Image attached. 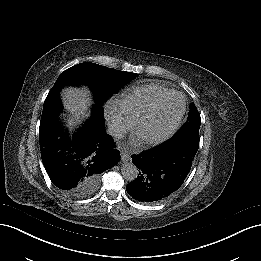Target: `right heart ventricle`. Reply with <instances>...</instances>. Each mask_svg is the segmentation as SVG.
I'll return each mask as SVG.
<instances>
[{"instance_id": "e07e8e85", "label": "right heart ventricle", "mask_w": 261, "mask_h": 261, "mask_svg": "<svg viewBox=\"0 0 261 261\" xmlns=\"http://www.w3.org/2000/svg\"><path fill=\"white\" fill-rule=\"evenodd\" d=\"M173 92V89L160 83L145 84L124 94L117 105L129 117L144 115L153 111Z\"/></svg>"}]
</instances>
